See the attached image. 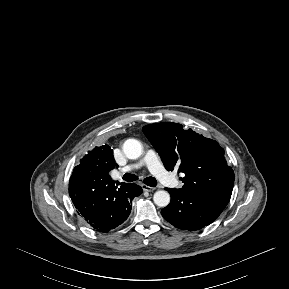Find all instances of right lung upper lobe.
Returning a JSON list of instances; mask_svg holds the SVG:
<instances>
[{
    "label": "right lung upper lobe",
    "instance_id": "obj_1",
    "mask_svg": "<svg viewBox=\"0 0 289 289\" xmlns=\"http://www.w3.org/2000/svg\"><path fill=\"white\" fill-rule=\"evenodd\" d=\"M115 167H117V164L113 157V150L110 146L104 145L95 147L92 151H89L81 159L80 165L76 166L74 170L102 179L116 190L126 183H119L111 179L109 172Z\"/></svg>",
    "mask_w": 289,
    "mask_h": 289
}]
</instances>
